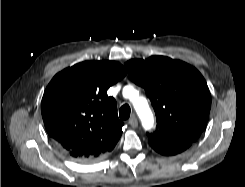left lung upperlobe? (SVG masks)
Instances as JSON below:
<instances>
[{
    "mask_svg": "<svg viewBox=\"0 0 245 187\" xmlns=\"http://www.w3.org/2000/svg\"><path fill=\"white\" fill-rule=\"evenodd\" d=\"M125 67L132 81L144 87L156 113V131L148 137L165 143L195 142L211 108L210 91L200 72L164 56L130 60Z\"/></svg>",
    "mask_w": 245,
    "mask_h": 187,
    "instance_id": "left-lung-upper-lobe-1",
    "label": "left lung upper lobe"
}]
</instances>
